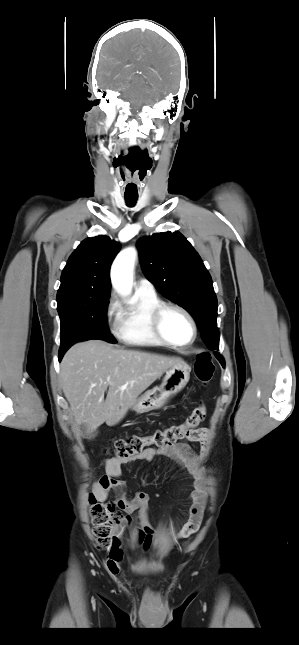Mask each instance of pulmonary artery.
I'll return each mask as SVG.
<instances>
[{"label": "pulmonary artery", "mask_w": 299, "mask_h": 645, "mask_svg": "<svg viewBox=\"0 0 299 645\" xmlns=\"http://www.w3.org/2000/svg\"><path fill=\"white\" fill-rule=\"evenodd\" d=\"M136 291L148 293V294H153L155 293V287L154 285L147 279L142 278L139 279L135 285Z\"/></svg>", "instance_id": "e3ab8cb5"}]
</instances>
